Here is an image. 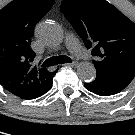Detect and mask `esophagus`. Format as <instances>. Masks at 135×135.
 Listing matches in <instances>:
<instances>
[{"label":"esophagus","instance_id":"obj_1","mask_svg":"<svg viewBox=\"0 0 135 135\" xmlns=\"http://www.w3.org/2000/svg\"><path fill=\"white\" fill-rule=\"evenodd\" d=\"M65 66H70V67H77L78 63L77 62H72V63H68V64H64Z\"/></svg>","mask_w":135,"mask_h":135}]
</instances>
